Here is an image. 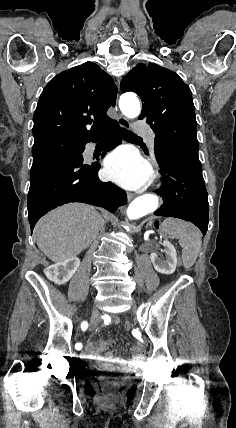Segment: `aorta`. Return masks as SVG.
Instances as JSON below:
<instances>
[{
  "label": "aorta",
  "instance_id": "obj_1",
  "mask_svg": "<svg viewBox=\"0 0 236 428\" xmlns=\"http://www.w3.org/2000/svg\"><path fill=\"white\" fill-rule=\"evenodd\" d=\"M119 107L127 118H136L141 112L140 102L134 93H126L120 97ZM159 205L158 197L153 194H144L134 199L127 209L130 220L139 219L154 212Z\"/></svg>",
  "mask_w": 236,
  "mask_h": 428
}]
</instances>
